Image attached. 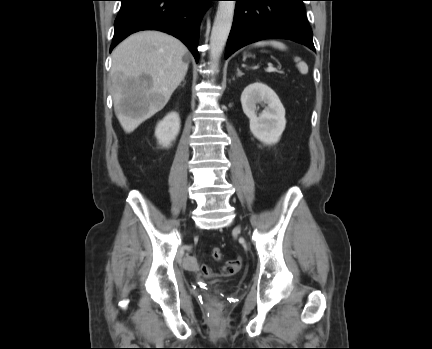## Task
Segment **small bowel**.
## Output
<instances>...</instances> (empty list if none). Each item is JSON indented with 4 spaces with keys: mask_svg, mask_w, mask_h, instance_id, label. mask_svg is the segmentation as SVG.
Here are the masks:
<instances>
[{
    "mask_svg": "<svg viewBox=\"0 0 432 349\" xmlns=\"http://www.w3.org/2000/svg\"><path fill=\"white\" fill-rule=\"evenodd\" d=\"M241 267V260L234 259L228 261L221 269L214 271L208 266H202L201 272L203 277L210 280L224 279L236 275Z\"/></svg>",
    "mask_w": 432,
    "mask_h": 349,
    "instance_id": "small-bowel-1",
    "label": "small bowel"
}]
</instances>
